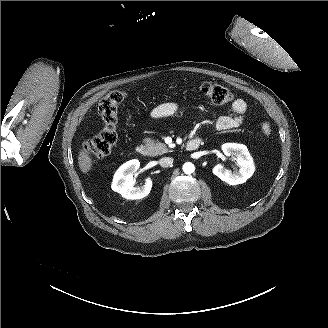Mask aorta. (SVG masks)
<instances>
[{"mask_svg":"<svg viewBox=\"0 0 328 328\" xmlns=\"http://www.w3.org/2000/svg\"><path fill=\"white\" fill-rule=\"evenodd\" d=\"M183 171L185 174H192L195 171V166L191 162L183 164Z\"/></svg>","mask_w":328,"mask_h":328,"instance_id":"obj_1","label":"aorta"}]
</instances>
